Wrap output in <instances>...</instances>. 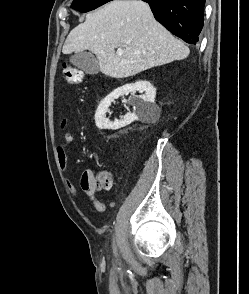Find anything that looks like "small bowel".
<instances>
[{
	"label": "small bowel",
	"instance_id": "c3829d8e",
	"mask_svg": "<svg viewBox=\"0 0 249 294\" xmlns=\"http://www.w3.org/2000/svg\"><path fill=\"white\" fill-rule=\"evenodd\" d=\"M62 127H64V123L62 124ZM76 136V132L74 130H69L65 132L63 135V139L61 144L57 147V158H58V163L61 169H65L67 167V162H68V157H67V146L72 143ZM92 173L91 172H85L83 176L81 177L80 180V187L82 191L85 193V195L88 197L91 205L93 208L99 212L103 213L106 212L110 207H112L114 204H105L101 202L97 196V188L93 183L92 179ZM66 185L71 192V194L74 196L76 191L72 185V183L69 180H66Z\"/></svg>",
	"mask_w": 249,
	"mask_h": 294
}]
</instances>
